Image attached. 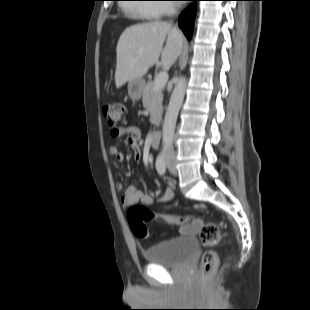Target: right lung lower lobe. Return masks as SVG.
<instances>
[{"mask_svg": "<svg viewBox=\"0 0 310 310\" xmlns=\"http://www.w3.org/2000/svg\"><path fill=\"white\" fill-rule=\"evenodd\" d=\"M198 1V0H192ZM196 6L191 4L184 12L181 13L178 19V24L188 40L191 39L194 27Z\"/></svg>", "mask_w": 310, "mask_h": 310, "instance_id": "98d812e1", "label": "right lung lower lobe"}]
</instances>
